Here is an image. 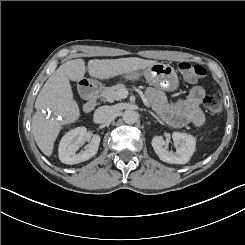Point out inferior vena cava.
I'll return each instance as SVG.
<instances>
[{
  "mask_svg": "<svg viewBox=\"0 0 245 245\" xmlns=\"http://www.w3.org/2000/svg\"><path fill=\"white\" fill-rule=\"evenodd\" d=\"M113 114V109L110 106H101L96 109L94 113V121L96 123H103L107 121Z\"/></svg>",
  "mask_w": 245,
  "mask_h": 245,
  "instance_id": "inferior-vena-cava-1",
  "label": "inferior vena cava"
}]
</instances>
